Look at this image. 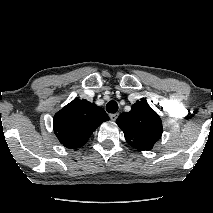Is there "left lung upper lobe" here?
<instances>
[{
  "label": "left lung upper lobe",
  "instance_id": "5c2ea615",
  "mask_svg": "<svg viewBox=\"0 0 213 213\" xmlns=\"http://www.w3.org/2000/svg\"><path fill=\"white\" fill-rule=\"evenodd\" d=\"M126 141L137 150H151L161 138L163 128L159 115L145 101H137L131 111L116 120Z\"/></svg>",
  "mask_w": 213,
  "mask_h": 213
}]
</instances>
